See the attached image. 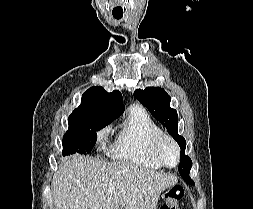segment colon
I'll return each instance as SVG.
<instances>
[{
	"label": "colon",
	"mask_w": 253,
	"mask_h": 209,
	"mask_svg": "<svg viewBox=\"0 0 253 209\" xmlns=\"http://www.w3.org/2000/svg\"><path fill=\"white\" fill-rule=\"evenodd\" d=\"M184 189L182 186H174L168 191L167 203L161 209H178V201L182 199Z\"/></svg>",
	"instance_id": "obj_1"
}]
</instances>
